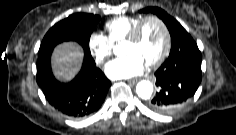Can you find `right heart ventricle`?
Returning a JSON list of instances; mask_svg holds the SVG:
<instances>
[{
    "label": "right heart ventricle",
    "instance_id": "right-heart-ventricle-1",
    "mask_svg": "<svg viewBox=\"0 0 236 135\" xmlns=\"http://www.w3.org/2000/svg\"><path fill=\"white\" fill-rule=\"evenodd\" d=\"M143 16H119L105 23V31L112 44L122 43L130 34L133 27Z\"/></svg>",
    "mask_w": 236,
    "mask_h": 135
}]
</instances>
